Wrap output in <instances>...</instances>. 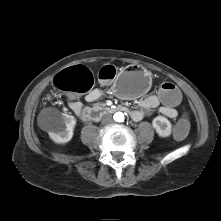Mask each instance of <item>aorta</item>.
I'll return each mask as SVG.
<instances>
[{"label": "aorta", "instance_id": "762f6f07", "mask_svg": "<svg viewBox=\"0 0 221 221\" xmlns=\"http://www.w3.org/2000/svg\"><path fill=\"white\" fill-rule=\"evenodd\" d=\"M113 117L116 122L124 121V114L122 112H116Z\"/></svg>", "mask_w": 221, "mask_h": 221}]
</instances>
